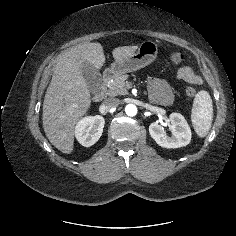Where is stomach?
Wrapping results in <instances>:
<instances>
[{
	"mask_svg": "<svg viewBox=\"0 0 236 236\" xmlns=\"http://www.w3.org/2000/svg\"><path fill=\"white\" fill-rule=\"evenodd\" d=\"M158 46L153 41H144L138 50L132 55L121 60H115L111 64V73L119 76L125 73L137 71L151 64L157 57Z\"/></svg>",
	"mask_w": 236,
	"mask_h": 236,
	"instance_id": "stomach-1",
	"label": "stomach"
}]
</instances>
